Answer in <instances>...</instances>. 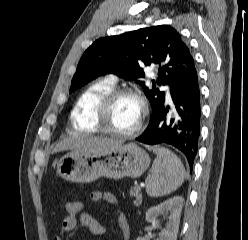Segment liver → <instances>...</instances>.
<instances>
[{"label": "liver", "instance_id": "liver-1", "mask_svg": "<svg viewBox=\"0 0 248 240\" xmlns=\"http://www.w3.org/2000/svg\"><path fill=\"white\" fill-rule=\"evenodd\" d=\"M121 144L122 141H116L113 139L79 135L64 139L56 145L53 152L55 153L69 149L81 152H97L116 147Z\"/></svg>", "mask_w": 248, "mask_h": 240}]
</instances>
